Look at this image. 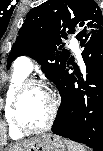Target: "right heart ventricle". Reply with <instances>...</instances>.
Here are the masks:
<instances>
[{
  "label": "right heart ventricle",
  "instance_id": "1",
  "mask_svg": "<svg viewBox=\"0 0 103 151\" xmlns=\"http://www.w3.org/2000/svg\"><path fill=\"white\" fill-rule=\"evenodd\" d=\"M27 77L28 73L16 66L5 95L4 115L8 125L9 135L15 140L21 139L24 133L17 130L13 125L10 117V106L15 92L27 80Z\"/></svg>",
  "mask_w": 103,
  "mask_h": 151
}]
</instances>
